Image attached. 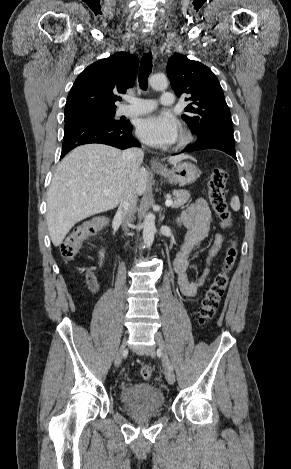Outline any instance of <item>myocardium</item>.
<instances>
[{
  "instance_id": "f54148a6",
  "label": "myocardium",
  "mask_w": 291,
  "mask_h": 469,
  "mask_svg": "<svg viewBox=\"0 0 291 469\" xmlns=\"http://www.w3.org/2000/svg\"><path fill=\"white\" fill-rule=\"evenodd\" d=\"M191 141H192V134L188 130L184 129L180 133L177 146L179 148H183L187 146Z\"/></svg>"
}]
</instances>
